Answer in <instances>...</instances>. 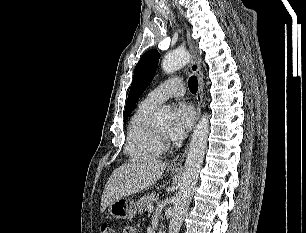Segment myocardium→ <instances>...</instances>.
Listing matches in <instances>:
<instances>
[{
  "instance_id": "f54148a6",
  "label": "myocardium",
  "mask_w": 306,
  "mask_h": 233,
  "mask_svg": "<svg viewBox=\"0 0 306 233\" xmlns=\"http://www.w3.org/2000/svg\"><path fill=\"white\" fill-rule=\"evenodd\" d=\"M156 133L158 135L162 148H166L168 146L167 136L162 132H160L157 128H156Z\"/></svg>"
}]
</instances>
